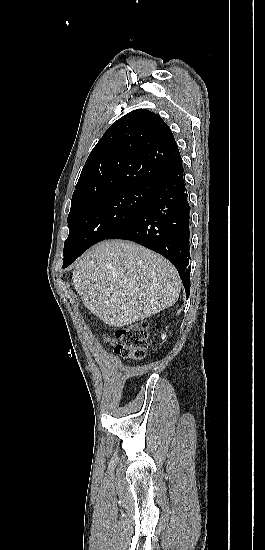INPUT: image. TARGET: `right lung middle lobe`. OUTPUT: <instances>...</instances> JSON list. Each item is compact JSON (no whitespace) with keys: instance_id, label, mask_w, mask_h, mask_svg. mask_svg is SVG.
<instances>
[{"instance_id":"right-lung-middle-lobe-1","label":"right lung middle lobe","mask_w":265,"mask_h":550,"mask_svg":"<svg viewBox=\"0 0 265 550\" xmlns=\"http://www.w3.org/2000/svg\"><path fill=\"white\" fill-rule=\"evenodd\" d=\"M155 188L156 185H137L72 203L63 267L135 220L146 208Z\"/></svg>"}]
</instances>
